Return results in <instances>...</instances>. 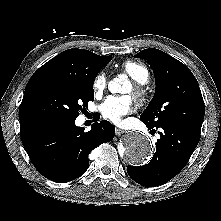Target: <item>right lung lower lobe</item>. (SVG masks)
<instances>
[{
	"label": "right lung lower lobe",
	"mask_w": 221,
	"mask_h": 221,
	"mask_svg": "<svg viewBox=\"0 0 221 221\" xmlns=\"http://www.w3.org/2000/svg\"><path fill=\"white\" fill-rule=\"evenodd\" d=\"M20 135L34 167L54 182H69L89 166L88 155L98 145L111 141L115 127L95 122L90 131L75 125V119L53 115H20Z\"/></svg>",
	"instance_id": "obj_1"
}]
</instances>
